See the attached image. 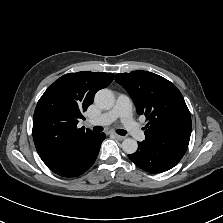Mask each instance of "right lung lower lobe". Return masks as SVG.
I'll return each mask as SVG.
<instances>
[{
    "label": "right lung lower lobe",
    "mask_w": 223,
    "mask_h": 223,
    "mask_svg": "<svg viewBox=\"0 0 223 223\" xmlns=\"http://www.w3.org/2000/svg\"><path fill=\"white\" fill-rule=\"evenodd\" d=\"M105 134H95L84 143L83 149L78 157L67 167L54 173L63 177H76L87 171L95 162Z\"/></svg>",
    "instance_id": "obj_1"
}]
</instances>
